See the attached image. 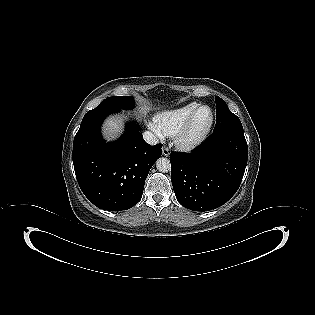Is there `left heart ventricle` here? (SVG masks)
Returning a JSON list of instances; mask_svg holds the SVG:
<instances>
[{"label":"left heart ventricle","instance_id":"1","mask_svg":"<svg viewBox=\"0 0 315 315\" xmlns=\"http://www.w3.org/2000/svg\"><path fill=\"white\" fill-rule=\"evenodd\" d=\"M211 118L210 111L206 108L200 110L192 124L190 136L199 135L208 125Z\"/></svg>","mask_w":315,"mask_h":315}]
</instances>
